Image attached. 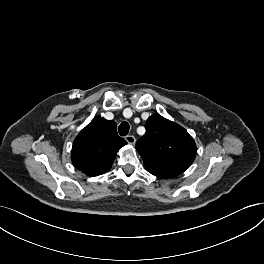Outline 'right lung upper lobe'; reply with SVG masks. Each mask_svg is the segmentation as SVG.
Listing matches in <instances>:
<instances>
[{
    "label": "right lung upper lobe",
    "instance_id": "1",
    "mask_svg": "<svg viewBox=\"0 0 264 264\" xmlns=\"http://www.w3.org/2000/svg\"><path fill=\"white\" fill-rule=\"evenodd\" d=\"M126 144L118 136L114 121L95 117L75 138L72 163L88 176L104 174L110 170L118 150Z\"/></svg>",
    "mask_w": 264,
    "mask_h": 264
}]
</instances>
